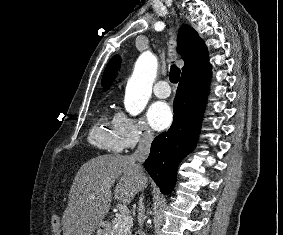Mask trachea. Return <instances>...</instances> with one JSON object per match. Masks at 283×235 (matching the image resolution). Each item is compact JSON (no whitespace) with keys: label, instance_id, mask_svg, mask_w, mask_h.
<instances>
[{"label":"trachea","instance_id":"obj_1","mask_svg":"<svg viewBox=\"0 0 283 235\" xmlns=\"http://www.w3.org/2000/svg\"><path fill=\"white\" fill-rule=\"evenodd\" d=\"M180 77V69L176 65H172L170 68L169 79L172 83L176 84Z\"/></svg>","mask_w":283,"mask_h":235}]
</instances>
